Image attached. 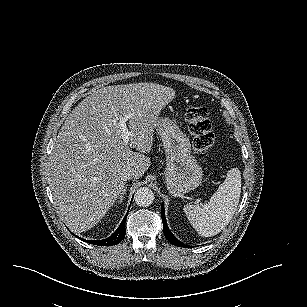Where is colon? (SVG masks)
<instances>
[{
	"label": "colon",
	"instance_id": "1",
	"mask_svg": "<svg viewBox=\"0 0 307 307\" xmlns=\"http://www.w3.org/2000/svg\"><path fill=\"white\" fill-rule=\"evenodd\" d=\"M186 121L193 137V148L199 154H206L214 144L212 123L206 107H191L186 112Z\"/></svg>",
	"mask_w": 307,
	"mask_h": 307
}]
</instances>
